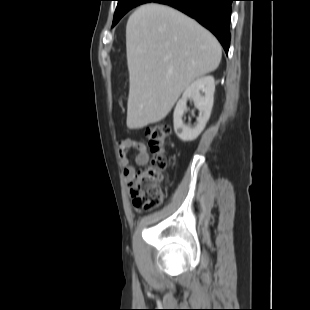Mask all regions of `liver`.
Here are the masks:
<instances>
[{"mask_svg":"<svg viewBox=\"0 0 310 310\" xmlns=\"http://www.w3.org/2000/svg\"><path fill=\"white\" fill-rule=\"evenodd\" d=\"M129 71L127 127L164 119L181 93L219 66L217 39L195 20L160 4L140 6L126 26Z\"/></svg>","mask_w":310,"mask_h":310,"instance_id":"1","label":"liver"}]
</instances>
